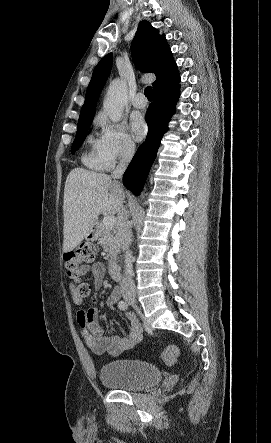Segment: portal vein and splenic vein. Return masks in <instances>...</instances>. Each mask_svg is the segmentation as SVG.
<instances>
[{"label":"portal vein and splenic vein","mask_w":271,"mask_h":443,"mask_svg":"<svg viewBox=\"0 0 271 443\" xmlns=\"http://www.w3.org/2000/svg\"><path fill=\"white\" fill-rule=\"evenodd\" d=\"M103 225L104 227H114L115 223H116V218H114V216H107V218H104L103 220Z\"/></svg>","instance_id":"18ae733b"}]
</instances>
